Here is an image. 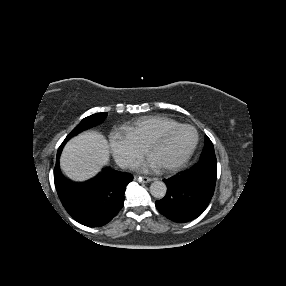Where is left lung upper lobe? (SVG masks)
Instances as JSON below:
<instances>
[{
    "label": "left lung upper lobe",
    "instance_id": "1",
    "mask_svg": "<svg viewBox=\"0 0 286 286\" xmlns=\"http://www.w3.org/2000/svg\"><path fill=\"white\" fill-rule=\"evenodd\" d=\"M209 156H215V151H214V147H213L211 140L206 136L205 146H204L200 159H203Z\"/></svg>",
    "mask_w": 286,
    "mask_h": 286
}]
</instances>
